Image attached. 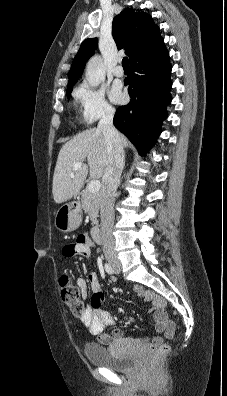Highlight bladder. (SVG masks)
I'll list each match as a JSON object with an SVG mask.
<instances>
[{
    "label": "bladder",
    "mask_w": 227,
    "mask_h": 396,
    "mask_svg": "<svg viewBox=\"0 0 227 396\" xmlns=\"http://www.w3.org/2000/svg\"><path fill=\"white\" fill-rule=\"evenodd\" d=\"M84 353L93 366L114 372H128L136 366L138 361L134 354L119 353L115 348H106L93 343L85 345Z\"/></svg>",
    "instance_id": "bladder-1"
}]
</instances>
